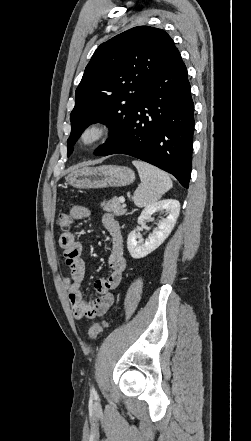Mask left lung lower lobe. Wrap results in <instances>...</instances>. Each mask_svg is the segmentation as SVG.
<instances>
[{
    "label": "left lung lower lobe",
    "instance_id": "1",
    "mask_svg": "<svg viewBox=\"0 0 251 441\" xmlns=\"http://www.w3.org/2000/svg\"><path fill=\"white\" fill-rule=\"evenodd\" d=\"M194 103L187 69L176 48L147 86V95L128 120L110 129L97 156L126 154L174 175L188 188L192 167Z\"/></svg>",
    "mask_w": 251,
    "mask_h": 441
}]
</instances>
